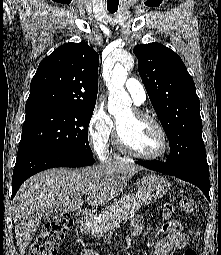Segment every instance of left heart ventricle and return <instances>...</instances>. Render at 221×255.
I'll return each mask as SVG.
<instances>
[{"mask_svg":"<svg viewBox=\"0 0 221 255\" xmlns=\"http://www.w3.org/2000/svg\"><path fill=\"white\" fill-rule=\"evenodd\" d=\"M117 126L128 144L137 152L155 155L162 149V139L157 128L150 122L137 119L132 111L122 114Z\"/></svg>","mask_w":221,"mask_h":255,"instance_id":"1","label":"left heart ventricle"}]
</instances>
